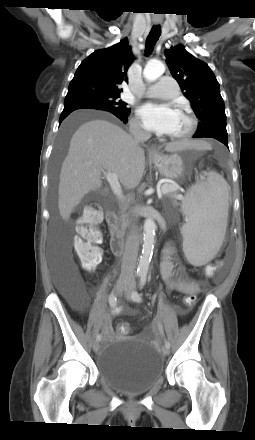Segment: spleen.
Instances as JSON below:
<instances>
[{"instance_id": "1", "label": "spleen", "mask_w": 255, "mask_h": 440, "mask_svg": "<svg viewBox=\"0 0 255 440\" xmlns=\"http://www.w3.org/2000/svg\"><path fill=\"white\" fill-rule=\"evenodd\" d=\"M227 184L212 173L206 182L191 187L182 202L189 222L182 226L183 250L193 265L209 262L220 249L227 227Z\"/></svg>"}]
</instances>
